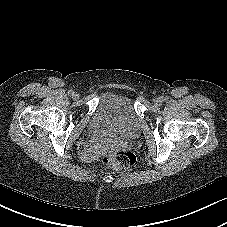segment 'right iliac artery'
Returning a JSON list of instances; mask_svg holds the SVG:
<instances>
[{
  "mask_svg": "<svg viewBox=\"0 0 227 227\" xmlns=\"http://www.w3.org/2000/svg\"><path fill=\"white\" fill-rule=\"evenodd\" d=\"M73 94H74V91H73V90H69V91H68V95H69V96H73Z\"/></svg>",
  "mask_w": 227,
  "mask_h": 227,
  "instance_id": "right-iliac-artery-1",
  "label": "right iliac artery"
}]
</instances>
